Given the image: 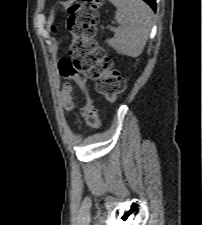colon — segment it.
I'll list each match as a JSON object with an SVG mask.
<instances>
[{"instance_id": "obj_1", "label": "colon", "mask_w": 202, "mask_h": 225, "mask_svg": "<svg viewBox=\"0 0 202 225\" xmlns=\"http://www.w3.org/2000/svg\"><path fill=\"white\" fill-rule=\"evenodd\" d=\"M100 4L101 0H77L70 9L67 35L71 38V58L61 61L59 66L62 77L72 79L84 94L79 115L93 128L100 125V119L88 87V78L97 80L98 92L110 102L125 89V82L114 67L112 58L94 40ZM71 91L70 84H65L62 96L65 109L72 107Z\"/></svg>"}]
</instances>
